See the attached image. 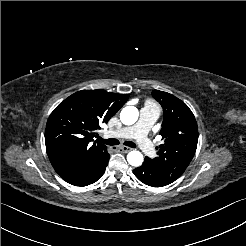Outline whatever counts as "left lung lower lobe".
Segmentation results:
<instances>
[{
	"label": "left lung lower lobe",
	"mask_w": 246,
	"mask_h": 246,
	"mask_svg": "<svg viewBox=\"0 0 246 246\" xmlns=\"http://www.w3.org/2000/svg\"><path fill=\"white\" fill-rule=\"evenodd\" d=\"M135 176L144 184L152 187L166 186L173 181L169 174L155 165L153 159L145 157L143 165L133 170Z\"/></svg>",
	"instance_id": "obj_1"
}]
</instances>
